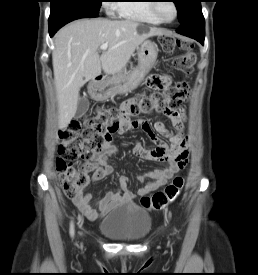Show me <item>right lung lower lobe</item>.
I'll use <instances>...</instances> for the list:
<instances>
[{"label":"right lung lower lobe","instance_id":"98d812e1","mask_svg":"<svg viewBox=\"0 0 258 275\" xmlns=\"http://www.w3.org/2000/svg\"><path fill=\"white\" fill-rule=\"evenodd\" d=\"M88 17H98V14H93L84 11H63L56 14H50L49 17V34L52 37L65 24L79 19Z\"/></svg>","mask_w":258,"mask_h":275}]
</instances>
